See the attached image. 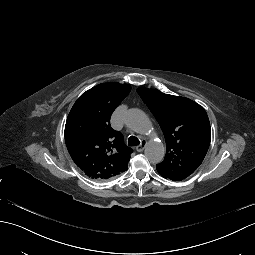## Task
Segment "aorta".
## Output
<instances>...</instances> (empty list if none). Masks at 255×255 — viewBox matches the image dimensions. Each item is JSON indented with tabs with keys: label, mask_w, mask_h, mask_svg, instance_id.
<instances>
[{
	"label": "aorta",
	"mask_w": 255,
	"mask_h": 255,
	"mask_svg": "<svg viewBox=\"0 0 255 255\" xmlns=\"http://www.w3.org/2000/svg\"><path fill=\"white\" fill-rule=\"evenodd\" d=\"M126 125L133 131L152 135L153 126L148 118V116L137 108H132L127 110L125 115ZM165 155V148L162 142L154 140L153 138L149 140L145 147V156L151 163H160Z\"/></svg>",
	"instance_id": "1"
}]
</instances>
